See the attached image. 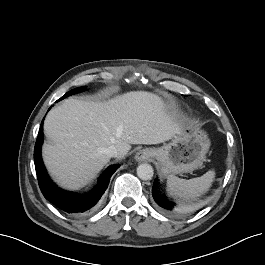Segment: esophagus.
I'll list each match as a JSON object with an SVG mask.
<instances>
[{"label":"esophagus","mask_w":265,"mask_h":265,"mask_svg":"<svg viewBox=\"0 0 265 265\" xmlns=\"http://www.w3.org/2000/svg\"><path fill=\"white\" fill-rule=\"evenodd\" d=\"M153 155L150 149H141L135 155V160L138 162L148 161Z\"/></svg>","instance_id":"1"}]
</instances>
